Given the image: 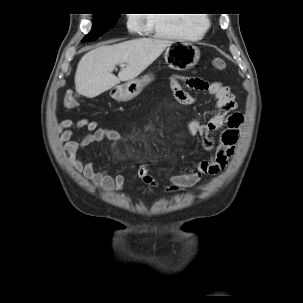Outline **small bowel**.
I'll use <instances>...</instances> for the list:
<instances>
[{
  "label": "small bowel",
  "mask_w": 303,
  "mask_h": 303,
  "mask_svg": "<svg viewBox=\"0 0 303 303\" xmlns=\"http://www.w3.org/2000/svg\"><path fill=\"white\" fill-rule=\"evenodd\" d=\"M170 85L173 95L178 103L191 106L198 102V98L184 89V85L195 90L205 91L212 96L214 114L206 121L193 120L185 125V130L192 136L201 139L204 150L210 152L209 159L201 160L191 169H183L170 177L169 191H183L198 182L202 175H217L227 165L234 153L235 145L239 139L238 128L241 123L239 116L233 114L230 118L226 115L237 109L235 97L230 88L220 82L208 83L199 78L181 75H172ZM71 128L86 129L89 134L82 140H74V132ZM221 132L219 139H214V134ZM122 136L115 130L99 127L94 120L86 118L79 120H63L57 128V142L63 146L71 165L81 172L96 187L107 192L120 191L125 184L122 174L111 176L109 169L97 170L92 162L85 163L80 152L92 143L121 142ZM138 177L142 180V189L154 188L158 181L144 166L138 169Z\"/></svg>",
  "instance_id": "c3829d8e"
}]
</instances>
